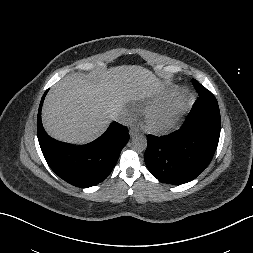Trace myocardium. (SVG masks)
<instances>
[{
	"mask_svg": "<svg viewBox=\"0 0 253 253\" xmlns=\"http://www.w3.org/2000/svg\"><path fill=\"white\" fill-rule=\"evenodd\" d=\"M186 108L187 103L183 98L152 106L146 111L145 126L156 134L168 133L179 124Z\"/></svg>",
	"mask_w": 253,
	"mask_h": 253,
	"instance_id": "1",
	"label": "myocardium"
}]
</instances>
